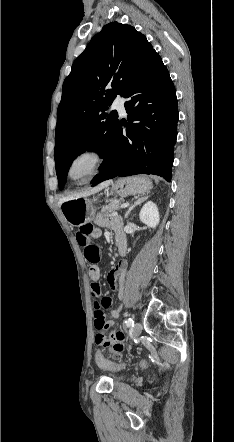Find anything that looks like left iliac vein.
<instances>
[{
	"instance_id": "1",
	"label": "left iliac vein",
	"mask_w": 234,
	"mask_h": 442,
	"mask_svg": "<svg viewBox=\"0 0 234 442\" xmlns=\"http://www.w3.org/2000/svg\"><path fill=\"white\" fill-rule=\"evenodd\" d=\"M141 331H142L141 323H139V322L135 323V325L132 327V335H133V337L139 336Z\"/></svg>"
}]
</instances>
